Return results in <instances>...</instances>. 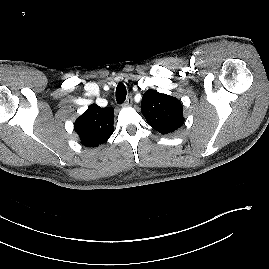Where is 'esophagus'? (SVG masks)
<instances>
[{
	"label": "esophagus",
	"mask_w": 269,
	"mask_h": 269,
	"mask_svg": "<svg viewBox=\"0 0 269 269\" xmlns=\"http://www.w3.org/2000/svg\"><path fill=\"white\" fill-rule=\"evenodd\" d=\"M132 102H133V99H132V97H127V99H126V101L124 102V104H123V106L124 107H129V106H131L132 105Z\"/></svg>",
	"instance_id": "1"
}]
</instances>
